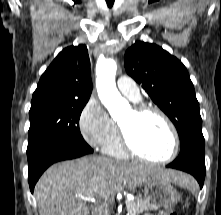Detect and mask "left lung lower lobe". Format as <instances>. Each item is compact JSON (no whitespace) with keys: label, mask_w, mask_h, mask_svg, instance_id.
<instances>
[{"label":"left lung lower lobe","mask_w":221,"mask_h":215,"mask_svg":"<svg viewBox=\"0 0 221 215\" xmlns=\"http://www.w3.org/2000/svg\"><path fill=\"white\" fill-rule=\"evenodd\" d=\"M205 142H189L181 149L179 156L168 168L178 169L190 173L198 181L200 188L203 187L205 179Z\"/></svg>","instance_id":"obj_1"}]
</instances>
